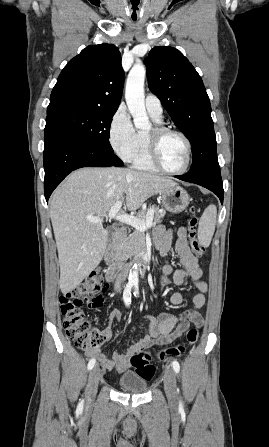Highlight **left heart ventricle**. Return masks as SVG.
<instances>
[{"instance_id": "left-heart-ventricle-1", "label": "left heart ventricle", "mask_w": 269, "mask_h": 447, "mask_svg": "<svg viewBox=\"0 0 269 447\" xmlns=\"http://www.w3.org/2000/svg\"><path fill=\"white\" fill-rule=\"evenodd\" d=\"M160 153L163 163L168 168L181 169L186 161V144L180 136L167 134L160 140Z\"/></svg>"}]
</instances>
